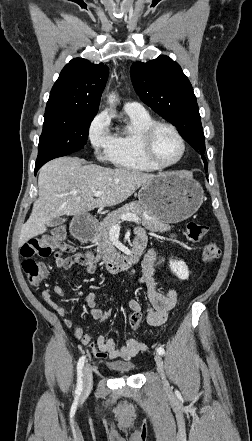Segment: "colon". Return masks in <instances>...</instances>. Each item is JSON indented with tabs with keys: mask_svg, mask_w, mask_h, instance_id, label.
I'll use <instances>...</instances> for the list:
<instances>
[{
	"mask_svg": "<svg viewBox=\"0 0 252 441\" xmlns=\"http://www.w3.org/2000/svg\"><path fill=\"white\" fill-rule=\"evenodd\" d=\"M187 236L193 242L200 241L208 232V227L204 224L191 221L187 224ZM65 230L62 227H55L49 232L30 239L25 243L20 251L22 257V268L27 275L29 282L33 286H39L47 277L46 267L37 262L34 257H48L54 251L66 250L67 244L64 242ZM221 255L220 247L216 243H207L202 250V261L204 263H212ZM115 315L113 309H106L101 312L100 321L110 320ZM127 321L132 329H138L142 323V311L131 310L127 314ZM96 358H106V353L99 349L92 350Z\"/></svg>",
	"mask_w": 252,
	"mask_h": 441,
	"instance_id": "1",
	"label": "colon"
}]
</instances>
